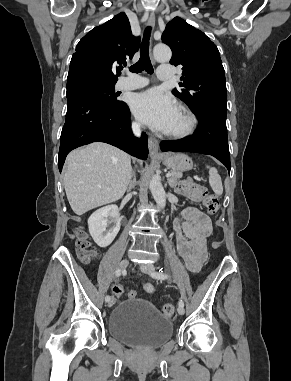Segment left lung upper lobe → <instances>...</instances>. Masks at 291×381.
<instances>
[{"mask_svg":"<svg viewBox=\"0 0 291 381\" xmlns=\"http://www.w3.org/2000/svg\"><path fill=\"white\" fill-rule=\"evenodd\" d=\"M162 41L172 50L170 63L183 66V82L172 93L196 115L203 112L226 114L225 72L217 46L180 17L167 24Z\"/></svg>","mask_w":291,"mask_h":381,"instance_id":"obj_1","label":"left lung upper lobe"}]
</instances>
